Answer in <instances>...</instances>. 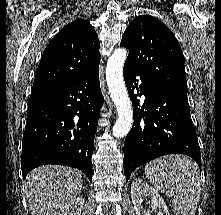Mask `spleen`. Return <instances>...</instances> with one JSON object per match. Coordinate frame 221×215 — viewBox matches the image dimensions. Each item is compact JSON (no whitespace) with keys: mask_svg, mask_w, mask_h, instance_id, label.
I'll return each mask as SVG.
<instances>
[{"mask_svg":"<svg viewBox=\"0 0 221 215\" xmlns=\"http://www.w3.org/2000/svg\"><path fill=\"white\" fill-rule=\"evenodd\" d=\"M150 183L172 198L175 215H195L201 193L200 171L187 156L168 155L145 166Z\"/></svg>","mask_w":221,"mask_h":215,"instance_id":"spleen-1","label":"spleen"}]
</instances>
